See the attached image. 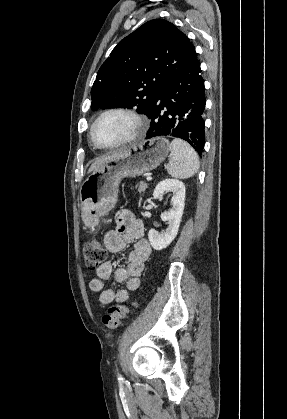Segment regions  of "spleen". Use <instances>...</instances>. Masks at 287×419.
<instances>
[{"label": "spleen", "instance_id": "3e777b00", "mask_svg": "<svg viewBox=\"0 0 287 419\" xmlns=\"http://www.w3.org/2000/svg\"><path fill=\"white\" fill-rule=\"evenodd\" d=\"M171 156L167 172L175 178L187 179L199 170V158L195 150L185 141L174 139L170 144Z\"/></svg>", "mask_w": 287, "mask_h": 419}]
</instances>
